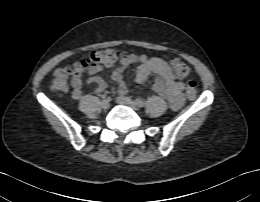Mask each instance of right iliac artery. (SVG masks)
<instances>
[{
    "instance_id": "obj_1",
    "label": "right iliac artery",
    "mask_w": 260,
    "mask_h": 202,
    "mask_svg": "<svg viewBox=\"0 0 260 202\" xmlns=\"http://www.w3.org/2000/svg\"><path fill=\"white\" fill-rule=\"evenodd\" d=\"M102 98H103V99H106V98H107V96H106V95H103V96H102Z\"/></svg>"
}]
</instances>
